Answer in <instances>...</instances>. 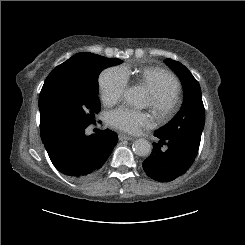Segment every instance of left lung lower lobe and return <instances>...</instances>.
I'll return each instance as SVG.
<instances>
[{"instance_id": "left-lung-lower-lobe-1", "label": "left lung lower lobe", "mask_w": 245, "mask_h": 245, "mask_svg": "<svg viewBox=\"0 0 245 245\" xmlns=\"http://www.w3.org/2000/svg\"><path fill=\"white\" fill-rule=\"evenodd\" d=\"M160 139L153 143L151 155L143 161L145 173L159 182H168L183 175L192 165L199 147L179 138L154 133ZM166 149H162L163 146Z\"/></svg>"}]
</instances>
